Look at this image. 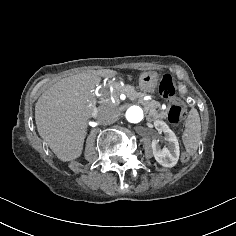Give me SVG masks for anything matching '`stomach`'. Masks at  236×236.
<instances>
[{
  "instance_id": "obj_1",
  "label": "stomach",
  "mask_w": 236,
  "mask_h": 236,
  "mask_svg": "<svg viewBox=\"0 0 236 236\" xmlns=\"http://www.w3.org/2000/svg\"><path fill=\"white\" fill-rule=\"evenodd\" d=\"M158 84L156 72H143L139 77V88L144 92L153 93Z\"/></svg>"
}]
</instances>
